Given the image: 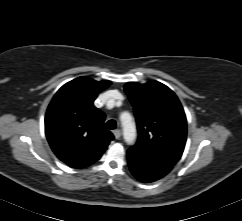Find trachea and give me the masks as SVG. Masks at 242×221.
Returning a JSON list of instances; mask_svg holds the SVG:
<instances>
[{
  "label": "trachea",
  "mask_w": 242,
  "mask_h": 221,
  "mask_svg": "<svg viewBox=\"0 0 242 221\" xmlns=\"http://www.w3.org/2000/svg\"><path fill=\"white\" fill-rule=\"evenodd\" d=\"M116 126H117V124H116V121H115V120H109V121L106 123V128H107V129H110V130L115 129Z\"/></svg>",
  "instance_id": "1"
}]
</instances>
